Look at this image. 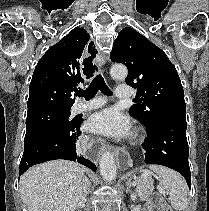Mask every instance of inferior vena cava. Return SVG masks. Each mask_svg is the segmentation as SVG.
Here are the masks:
<instances>
[{
    "mask_svg": "<svg viewBox=\"0 0 209 211\" xmlns=\"http://www.w3.org/2000/svg\"><path fill=\"white\" fill-rule=\"evenodd\" d=\"M89 192V189H88V182H87V179L85 180V183H84V186H83V197H82V201L85 202L86 201V196Z\"/></svg>",
    "mask_w": 209,
    "mask_h": 211,
    "instance_id": "602c4592",
    "label": "inferior vena cava"
}]
</instances>
